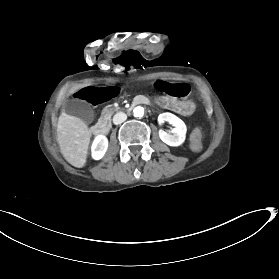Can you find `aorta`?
<instances>
[{
  "label": "aorta",
  "mask_w": 279,
  "mask_h": 279,
  "mask_svg": "<svg viewBox=\"0 0 279 279\" xmlns=\"http://www.w3.org/2000/svg\"><path fill=\"white\" fill-rule=\"evenodd\" d=\"M144 115V108L141 106H137L134 108V116L142 117Z\"/></svg>",
  "instance_id": "762f6f07"
}]
</instances>
